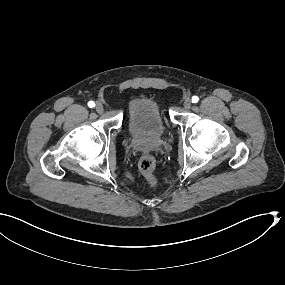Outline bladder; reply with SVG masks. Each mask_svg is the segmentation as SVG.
I'll use <instances>...</instances> for the list:
<instances>
[{"label":"bladder","instance_id":"obj_1","mask_svg":"<svg viewBox=\"0 0 285 285\" xmlns=\"http://www.w3.org/2000/svg\"><path fill=\"white\" fill-rule=\"evenodd\" d=\"M155 101L149 96L138 98L131 102L128 107L131 110L132 132L130 139L155 141L164 135L159 129V116L155 112Z\"/></svg>","mask_w":285,"mask_h":285}]
</instances>
